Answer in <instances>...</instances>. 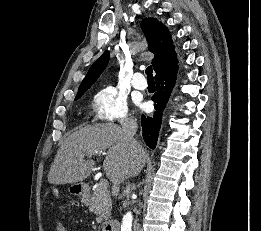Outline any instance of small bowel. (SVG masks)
Instances as JSON below:
<instances>
[{
  "label": "small bowel",
  "mask_w": 261,
  "mask_h": 231,
  "mask_svg": "<svg viewBox=\"0 0 261 231\" xmlns=\"http://www.w3.org/2000/svg\"><path fill=\"white\" fill-rule=\"evenodd\" d=\"M56 229H57V231H69L68 228L61 222L57 223Z\"/></svg>",
  "instance_id": "small-bowel-1"
}]
</instances>
